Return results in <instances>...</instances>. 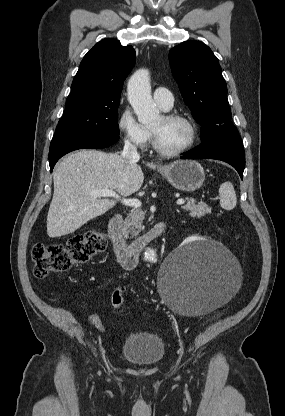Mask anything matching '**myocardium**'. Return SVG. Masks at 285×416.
I'll return each instance as SVG.
<instances>
[{
    "label": "myocardium",
    "mask_w": 285,
    "mask_h": 416,
    "mask_svg": "<svg viewBox=\"0 0 285 416\" xmlns=\"http://www.w3.org/2000/svg\"><path fill=\"white\" fill-rule=\"evenodd\" d=\"M163 117L167 120L183 121L189 128V133H190L189 141L184 147H182L180 149L166 150L158 144V142L156 140V137H155V134H154L153 130L150 128L151 136H152V145H153L154 150L158 154H160L162 156H165V157H177V156H181V155L187 153L188 151H190L194 147V145L196 143V140H197V129H196V126H195V123L193 122V120L190 117H188L187 115L177 113V112H165L163 114Z\"/></svg>",
    "instance_id": "myocardium-1"
}]
</instances>
